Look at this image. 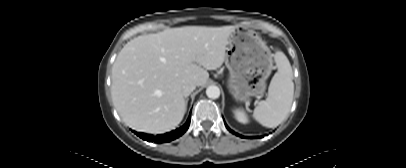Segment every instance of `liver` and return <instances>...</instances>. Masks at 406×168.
Masks as SVG:
<instances>
[{
  "label": "liver",
  "mask_w": 406,
  "mask_h": 168,
  "mask_svg": "<svg viewBox=\"0 0 406 168\" xmlns=\"http://www.w3.org/2000/svg\"><path fill=\"white\" fill-rule=\"evenodd\" d=\"M234 29L185 26L130 40L112 67V99L123 121L149 133L177 126L186 112L182 86H202L207 70L222 66Z\"/></svg>",
  "instance_id": "obj_1"
}]
</instances>
